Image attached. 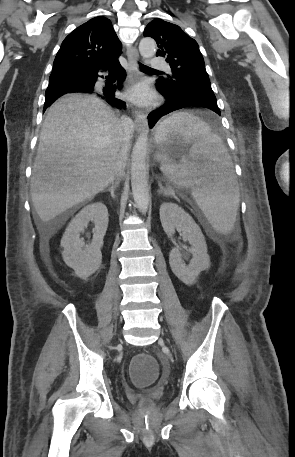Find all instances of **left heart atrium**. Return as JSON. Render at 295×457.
Wrapping results in <instances>:
<instances>
[{
  "mask_svg": "<svg viewBox=\"0 0 295 457\" xmlns=\"http://www.w3.org/2000/svg\"><path fill=\"white\" fill-rule=\"evenodd\" d=\"M127 97L133 103L146 106L154 101V94L149 86L144 82H139L131 87L127 93Z\"/></svg>",
  "mask_w": 295,
  "mask_h": 457,
  "instance_id": "39dd6f15",
  "label": "left heart atrium"
}]
</instances>
